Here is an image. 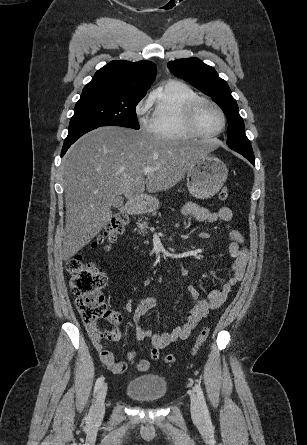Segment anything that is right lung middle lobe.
Wrapping results in <instances>:
<instances>
[{
  "mask_svg": "<svg viewBox=\"0 0 307 445\" xmlns=\"http://www.w3.org/2000/svg\"><path fill=\"white\" fill-rule=\"evenodd\" d=\"M142 98L118 95L81 96L69 124V134L101 126L139 129L136 105Z\"/></svg>",
  "mask_w": 307,
  "mask_h": 445,
  "instance_id": "right-lung-middle-lobe-1",
  "label": "right lung middle lobe"
}]
</instances>
